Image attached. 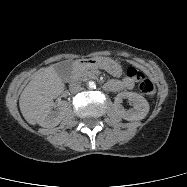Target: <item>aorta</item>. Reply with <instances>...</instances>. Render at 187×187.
<instances>
[{"mask_svg":"<svg viewBox=\"0 0 187 187\" xmlns=\"http://www.w3.org/2000/svg\"><path fill=\"white\" fill-rule=\"evenodd\" d=\"M96 87V84L94 82H89V88L93 89Z\"/></svg>","mask_w":187,"mask_h":187,"instance_id":"aorta-1","label":"aorta"}]
</instances>
